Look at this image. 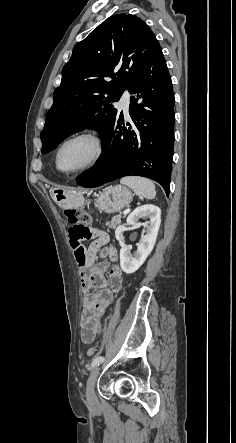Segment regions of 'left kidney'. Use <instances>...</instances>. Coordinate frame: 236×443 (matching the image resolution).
<instances>
[{
  "mask_svg": "<svg viewBox=\"0 0 236 443\" xmlns=\"http://www.w3.org/2000/svg\"><path fill=\"white\" fill-rule=\"evenodd\" d=\"M140 218H149V225L141 236L137 250L133 255L128 246L120 250V266L126 274L137 271L153 250L161 224V210L152 204L140 206L127 217V224L137 227Z\"/></svg>",
  "mask_w": 236,
  "mask_h": 443,
  "instance_id": "5707ae66",
  "label": "left kidney"
}]
</instances>
